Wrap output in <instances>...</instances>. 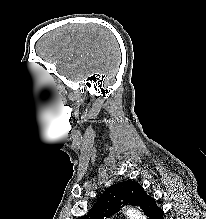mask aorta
Here are the masks:
<instances>
[{
	"label": "aorta",
	"instance_id": "obj_1",
	"mask_svg": "<svg viewBox=\"0 0 206 219\" xmlns=\"http://www.w3.org/2000/svg\"><path fill=\"white\" fill-rule=\"evenodd\" d=\"M129 219H146V217L139 211L133 208H126L124 212Z\"/></svg>",
	"mask_w": 206,
	"mask_h": 219
}]
</instances>
